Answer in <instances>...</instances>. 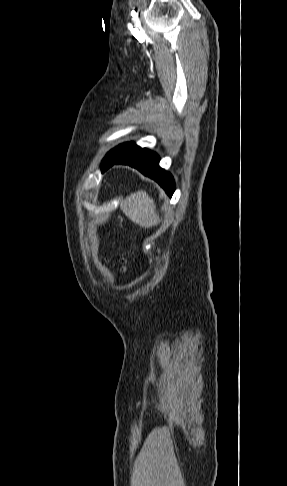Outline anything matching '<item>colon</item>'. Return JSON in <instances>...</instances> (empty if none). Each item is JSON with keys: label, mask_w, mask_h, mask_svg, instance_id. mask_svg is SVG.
Wrapping results in <instances>:
<instances>
[{"label": "colon", "mask_w": 287, "mask_h": 486, "mask_svg": "<svg viewBox=\"0 0 287 486\" xmlns=\"http://www.w3.org/2000/svg\"><path fill=\"white\" fill-rule=\"evenodd\" d=\"M121 262L124 263L125 262L124 259H122Z\"/></svg>", "instance_id": "1"}]
</instances>
